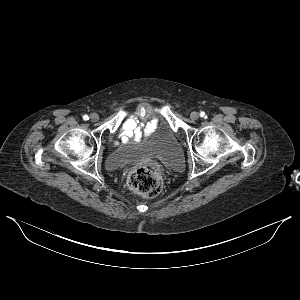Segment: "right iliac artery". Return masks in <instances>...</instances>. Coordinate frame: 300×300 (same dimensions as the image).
Segmentation results:
<instances>
[{
    "instance_id": "obj_1",
    "label": "right iliac artery",
    "mask_w": 300,
    "mask_h": 300,
    "mask_svg": "<svg viewBox=\"0 0 300 300\" xmlns=\"http://www.w3.org/2000/svg\"><path fill=\"white\" fill-rule=\"evenodd\" d=\"M83 120H85V121L89 120L88 115H84V116H83Z\"/></svg>"
}]
</instances>
